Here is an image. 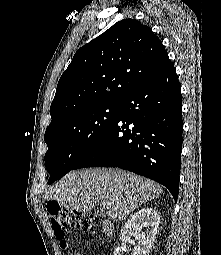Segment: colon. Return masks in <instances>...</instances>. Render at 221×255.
I'll use <instances>...</instances> for the list:
<instances>
[{"mask_svg": "<svg viewBox=\"0 0 221 255\" xmlns=\"http://www.w3.org/2000/svg\"><path fill=\"white\" fill-rule=\"evenodd\" d=\"M51 213V225L56 238L60 241L61 248L68 251L72 244L68 239L69 228H79L84 231L94 229V218L91 215L75 213L61 209L57 204H51L49 207ZM78 255L77 253H73Z\"/></svg>", "mask_w": 221, "mask_h": 255, "instance_id": "5ec220e1", "label": "colon"}]
</instances>
